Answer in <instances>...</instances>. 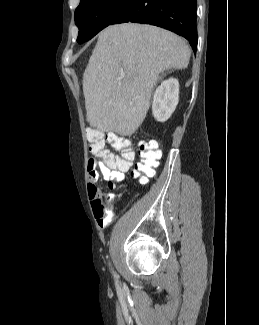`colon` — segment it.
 Segmentation results:
<instances>
[{"mask_svg":"<svg viewBox=\"0 0 259 325\" xmlns=\"http://www.w3.org/2000/svg\"><path fill=\"white\" fill-rule=\"evenodd\" d=\"M86 135L92 153L100 156L105 154V144L108 143L120 153L118 164L120 168L129 169L132 166L135 151L131 148V141L128 138L114 133L105 135L97 129H88ZM136 151L140 160L132 167L131 176L140 179L142 183H146L155 174L161 151L157 142L153 141L140 142Z\"/></svg>","mask_w":259,"mask_h":325,"instance_id":"colon-1","label":"colon"}]
</instances>
